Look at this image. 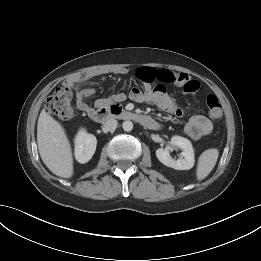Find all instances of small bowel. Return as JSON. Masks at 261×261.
Here are the masks:
<instances>
[{"label":"small bowel","mask_w":261,"mask_h":261,"mask_svg":"<svg viewBox=\"0 0 261 261\" xmlns=\"http://www.w3.org/2000/svg\"><path fill=\"white\" fill-rule=\"evenodd\" d=\"M113 74L123 75L125 69H115L110 71ZM99 73L87 72L81 76H76L71 80V84L75 87L76 103L78 108L90 114L93 110L88 105L87 99L94 94V90L89 86V82ZM137 76L145 82L143 89L133 88L130 92V98L137 102H153L162 110L172 113L178 117L183 115V111L168 96L163 86L152 87L151 82L155 79L162 83H173L183 89L186 94H194L199 89V82L192 79L189 75L181 72L169 70L155 71L152 68H140ZM125 99L123 94H116L112 100L120 102ZM106 99H100L99 104H103ZM211 121L203 115H195L191 117L185 124L184 133L194 140H199L208 136L212 131Z\"/></svg>","instance_id":"1"}]
</instances>
